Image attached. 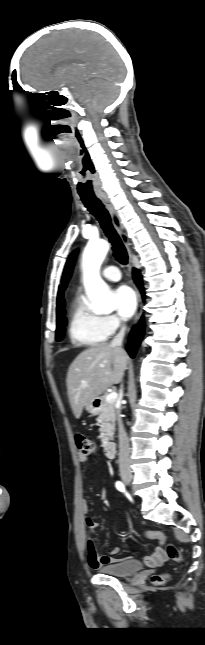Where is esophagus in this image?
Returning a JSON list of instances; mask_svg holds the SVG:
<instances>
[{
	"label": "esophagus",
	"instance_id": "esophagus-1",
	"mask_svg": "<svg viewBox=\"0 0 205 645\" xmlns=\"http://www.w3.org/2000/svg\"><path fill=\"white\" fill-rule=\"evenodd\" d=\"M98 198L101 200V202L104 204L106 209L108 210L113 226L118 232L122 242L126 246L128 253H129V270H132L133 267V262H132V255H131V248H130V242L128 239L127 234L124 231V228L122 226L121 220L118 216L117 211L115 210L112 202L110 201L109 197L106 194H99ZM136 296H137V308L135 312V317H134V325L138 323V321L141 318L142 315V301H141V295L138 289H136Z\"/></svg>",
	"mask_w": 205,
	"mask_h": 645
}]
</instances>
